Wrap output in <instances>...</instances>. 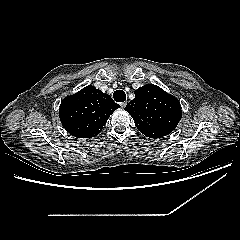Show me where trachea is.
I'll use <instances>...</instances> for the list:
<instances>
[{"label":"trachea","instance_id":"obj_1","mask_svg":"<svg viewBox=\"0 0 240 240\" xmlns=\"http://www.w3.org/2000/svg\"><path fill=\"white\" fill-rule=\"evenodd\" d=\"M113 97L116 102H123L126 100V94L123 90H116Z\"/></svg>","mask_w":240,"mask_h":240}]
</instances>
